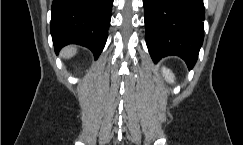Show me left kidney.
I'll list each match as a JSON object with an SVG mask.
<instances>
[{"instance_id": "5707ae66", "label": "left kidney", "mask_w": 243, "mask_h": 145, "mask_svg": "<svg viewBox=\"0 0 243 145\" xmlns=\"http://www.w3.org/2000/svg\"><path fill=\"white\" fill-rule=\"evenodd\" d=\"M162 73L164 78L166 79V81H168L169 83H173L175 80V76L172 73V71L170 69H167L166 67L162 68Z\"/></svg>"}]
</instances>
